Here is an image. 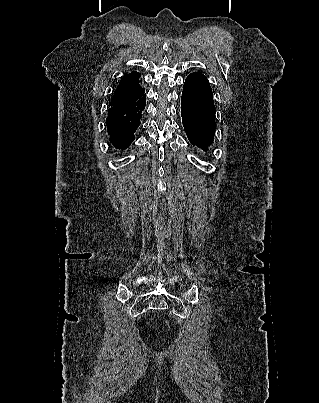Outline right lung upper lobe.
I'll return each mask as SVG.
<instances>
[{
	"label": "right lung upper lobe",
	"instance_id": "right-lung-upper-lobe-1",
	"mask_svg": "<svg viewBox=\"0 0 319 403\" xmlns=\"http://www.w3.org/2000/svg\"><path fill=\"white\" fill-rule=\"evenodd\" d=\"M139 77V73L135 71L125 74L115 90L110 106L121 104L141 94L144 89L140 86Z\"/></svg>",
	"mask_w": 319,
	"mask_h": 403
}]
</instances>
